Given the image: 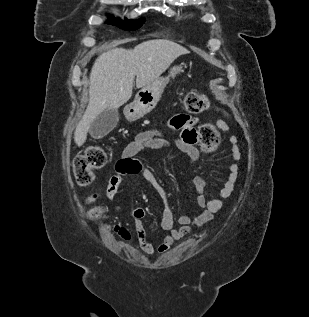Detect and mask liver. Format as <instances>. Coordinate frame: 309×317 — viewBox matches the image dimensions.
I'll use <instances>...</instances> for the list:
<instances>
[{
  "label": "liver",
  "mask_w": 309,
  "mask_h": 317,
  "mask_svg": "<svg viewBox=\"0 0 309 317\" xmlns=\"http://www.w3.org/2000/svg\"><path fill=\"white\" fill-rule=\"evenodd\" d=\"M189 51L166 39H154L134 49L115 48L101 54L90 73L89 103L77 124L74 142L82 146L93 120L105 109H118L132 96L136 87L143 88L156 81L181 55Z\"/></svg>",
  "instance_id": "obj_1"
}]
</instances>
